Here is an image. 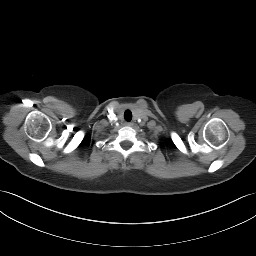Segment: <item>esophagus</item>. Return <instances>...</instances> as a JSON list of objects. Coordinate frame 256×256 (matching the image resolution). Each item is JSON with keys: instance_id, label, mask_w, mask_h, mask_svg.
<instances>
[{"instance_id": "1", "label": "esophagus", "mask_w": 256, "mask_h": 256, "mask_svg": "<svg viewBox=\"0 0 256 256\" xmlns=\"http://www.w3.org/2000/svg\"><path fill=\"white\" fill-rule=\"evenodd\" d=\"M125 125H127V126H132L133 123H132V122H126Z\"/></svg>"}]
</instances>
